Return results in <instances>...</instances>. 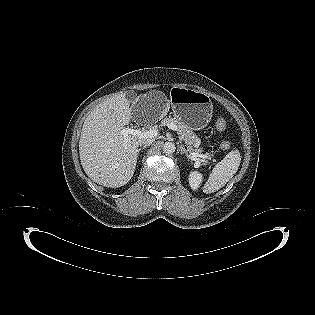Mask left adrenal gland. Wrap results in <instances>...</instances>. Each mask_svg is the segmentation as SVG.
Listing matches in <instances>:
<instances>
[{"label": "left adrenal gland", "mask_w": 315, "mask_h": 315, "mask_svg": "<svg viewBox=\"0 0 315 315\" xmlns=\"http://www.w3.org/2000/svg\"><path fill=\"white\" fill-rule=\"evenodd\" d=\"M179 151H180V154H181V155L185 154L186 157L189 158L188 152H187V150L184 148L183 145H181V146L179 147Z\"/></svg>", "instance_id": "left-adrenal-gland-1"}]
</instances>
